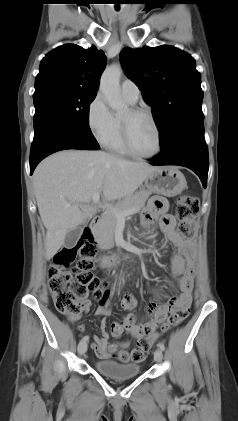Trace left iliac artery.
Instances as JSON below:
<instances>
[{
  "label": "left iliac artery",
  "mask_w": 238,
  "mask_h": 421,
  "mask_svg": "<svg viewBox=\"0 0 238 421\" xmlns=\"http://www.w3.org/2000/svg\"><path fill=\"white\" fill-rule=\"evenodd\" d=\"M158 347H159L162 351H164V349H165L164 344H163V343H161V342H159V343H158Z\"/></svg>",
  "instance_id": "left-iliac-artery-1"
}]
</instances>
